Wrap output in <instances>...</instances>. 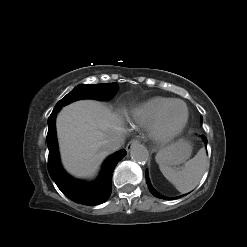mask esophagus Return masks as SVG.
<instances>
[{
	"instance_id": "obj_1",
	"label": "esophagus",
	"mask_w": 247,
	"mask_h": 247,
	"mask_svg": "<svg viewBox=\"0 0 247 247\" xmlns=\"http://www.w3.org/2000/svg\"><path fill=\"white\" fill-rule=\"evenodd\" d=\"M140 143L139 139H133L131 140L127 146H126V150L127 152H129L132 148H134L135 146H137Z\"/></svg>"
}]
</instances>
